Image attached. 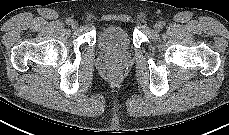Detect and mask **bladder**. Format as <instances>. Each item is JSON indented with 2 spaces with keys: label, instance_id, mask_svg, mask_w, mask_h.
Masks as SVG:
<instances>
[{
  "label": "bladder",
  "instance_id": "bladder-1",
  "mask_svg": "<svg viewBox=\"0 0 229 135\" xmlns=\"http://www.w3.org/2000/svg\"><path fill=\"white\" fill-rule=\"evenodd\" d=\"M130 43V36L126 28L120 25H110L101 30L99 44L105 52H115Z\"/></svg>",
  "mask_w": 229,
  "mask_h": 135
}]
</instances>
